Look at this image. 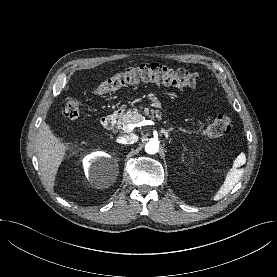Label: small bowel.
I'll return each instance as SVG.
<instances>
[{
	"label": "small bowel",
	"mask_w": 277,
	"mask_h": 277,
	"mask_svg": "<svg viewBox=\"0 0 277 277\" xmlns=\"http://www.w3.org/2000/svg\"><path fill=\"white\" fill-rule=\"evenodd\" d=\"M148 98H149V100L151 101V103L154 107H157V108L160 107V101H159V99H158V97L155 93L149 92L148 93Z\"/></svg>",
	"instance_id": "obj_1"
}]
</instances>
